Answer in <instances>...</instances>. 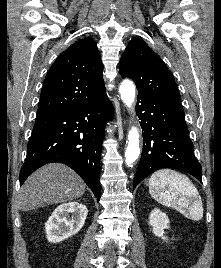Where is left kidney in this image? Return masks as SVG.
<instances>
[{
  "instance_id": "obj_1",
  "label": "left kidney",
  "mask_w": 221,
  "mask_h": 268,
  "mask_svg": "<svg viewBox=\"0 0 221 268\" xmlns=\"http://www.w3.org/2000/svg\"><path fill=\"white\" fill-rule=\"evenodd\" d=\"M169 218L168 216L155 208L151 211L149 216V224L152 226L153 234L155 236L161 237L162 239H167L163 234H165L164 230L169 228Z\"/></svg>"
}]
</instances>
